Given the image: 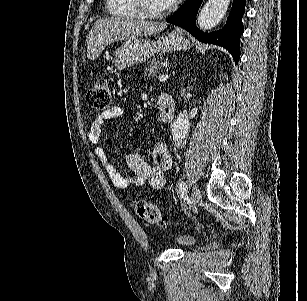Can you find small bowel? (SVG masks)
<instances>
[{"label":"small bowel","mask_w":307,"mask_h":301,"mask_svg":"<svg viewBox=\"0 0 307 301\" xmlns=\"http://www.w3.org/2000/svg\"><path fill=\"white\" fill-rule=\"evenodd\" d=\"M124 114L121 106H112L102 112L91 122L88 131V140L93 144H98L105 122L119 118ZM95 154L101 162L108 176L117 188L125 189L129 187H139L149 184L154 190H161L166 185V171L172 165V158L168 147L165 144H158L154 148V164L150 165L139 154L130 153L125 157L126 164L130 169L126 174L120 173L109 160L106 151L102 147L95 149Z\"/></svg>","instance_id":"c3829d8e"}]
</instances>
